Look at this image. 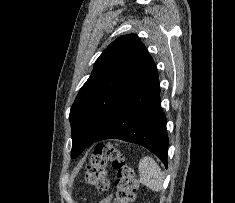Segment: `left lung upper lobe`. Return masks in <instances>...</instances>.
<instances>
[{
	"mask_svg": "<svg viewBox=\"0 0 235 203\" xmlns=\"http://www.w3.org/2000/svg\"><path fill=\"white\" fill-rule=\"evenodd\" d=\"M153 63L145 45L134 34L117 38L102 52L70 110L71 158L83 151L78 133L85 129L100 135Z\"/></svg>",
	"mask_w": 235,
	"mask_h": 203,
	"instance_id": "1",
	"label": "left lung upper lobe"
}]
</instances>
